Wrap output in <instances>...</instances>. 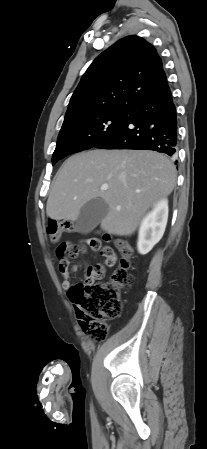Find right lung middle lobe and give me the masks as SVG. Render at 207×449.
I'll list each match as a JSON object with an SVG mask.
<instances>
[{"mask_svg": "<svg viewBox=\"0 0 207 449\" xmlns=\"http://www.w3.org/2000/svg\"><path fill=\"white\" fill-rule=\"evenodd\" d=\"M134 109H102L64 120L52 165L60 159L90 149L119 130Z\"/></svg>", "mask_w": 207, "mask_h": 449, "instance_id": "dd1d6c3e", "label": "right lung middle lobe"}]
</instances>
